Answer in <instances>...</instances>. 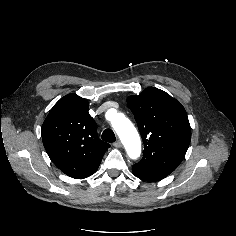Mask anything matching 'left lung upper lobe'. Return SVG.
<instances>
[{"instance_id": "obj_1", "label": "left lung upper lobe", "mask_w": 236, "mask_h": 236, "mask_svg": "<svg viewBox=\"0 0 236 236\" xmlns=\"http://www.w3.org/2000/svg\"><path fill=\"white\" fill-rule=\"evenodd\" d=\"M127 103L144 141L143 158L136 165L165 178L182 162L191 141L184 107L154 87L130 96Z\"/></svg>"}]
</instances>
